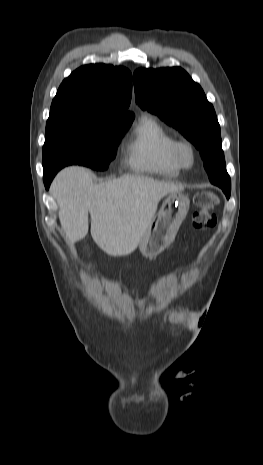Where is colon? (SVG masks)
Here are the masks:
<instances>
[{
  "instance_id": "obj_1",
  "label": "colon",
  "mask_w": 263,
  "mask_h": 465,
  "mask_svg": "<svg viewBox=\"0 0 263 465\" xmlns=\"http://www.w3.org/2000/svg\"><path fill=\"white\" fill-rule=\"evenodd\" d=\"M194 203L198 210L193 214V227L197 230H209L216 224L213 208L218 203L217 196L212 192H201L195 195Z\"/></svg>"
}]
</instances>
